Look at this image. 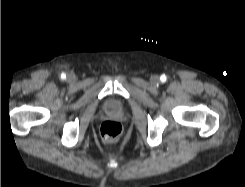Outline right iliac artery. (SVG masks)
<instances>
[{
  "mask_svg": "<svg viewBox=\"0 0 245 187\" xmlns=\"http://www.w3.org/2000/svg\"><path fill=\"white\" fill-rule=\"evenodd\" d=\"M61 78H62V79H65V78H66V74H65V73H62V74H61Z\"/></svg>",
  "mask_w": 245,
  "mask_h": 187,
  "instance_id": "obj_1",
  "label": "right iliac artery"
}]
</instances>
